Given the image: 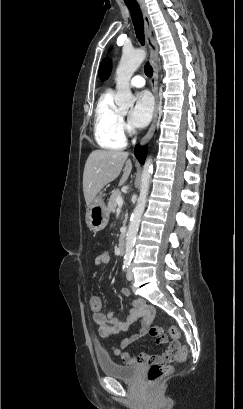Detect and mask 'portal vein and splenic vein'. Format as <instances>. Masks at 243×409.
<instances>
[{
  "instance_id": "portal-vein-and-splenic-vein-1",
  "label": "portal vein and splenic vein",
  "mask_w": 243,
  "mask_h": 409,
  "mask_svg": "<svg viewBox=\"0 0 243 409\" xmlns=\"http://www.w3.org/2000/svg\"><path fill=\"white\" fill-rule=\"evenodd\" d=\"M116 202H117V205H118V211L122 208V206H123V199H122V197L120 196V197H118L117 199H116Z\"/></svg>"
}]
</instances>
